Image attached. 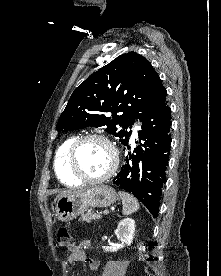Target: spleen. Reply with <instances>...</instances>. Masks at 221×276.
I'll return each instance as SVG.
<instances>
[{
	"label": "spleen",
	"instance_id": "spleen-1",
	"mask_svg": "<svg viewBox=\"0 0 221 276\" xmlns=\"http://www.w3.org/2000/svg\"><path fill=\"white\" fill-rule=\"evenodd\" d=\"M119 196L122 199V213L123 215H131L132 213L136 212L139 209L138 201L129 193L124 191H119Z\"/></svg>",
	"mask_w": 221,
	"mask_h": 276
}]
</instances>
